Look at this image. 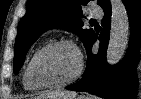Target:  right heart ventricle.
<instances>
[{
	"label": "right heart ventricle",
	"instance_id": "right-heart-ventricle-1",
	"mask_svg": "<svg viewBox=\"0 0 141 99\" xmlns=\"http://www.w3.org/2000/svg\"><path fill=\"white\" fill-rule=\"evenodd\" d=\"M40 48H41V47H39L38 49H36L35 52H34V54H35ZM34 54L32 55V57L34 56ZM32 57H31V59H32ZM31 59H30V61H31ZM30 61H29V63H30ZM29 63H28V65L26 66L25 71H24V74H23V85H24V88H25L26 90H28V91H38V90H41L42 88H39V87L34 86V85L30 82V80H29V78H28V66H29Z\"/></svg>",
	"mask_w": 141,
	"mask_h": 99
}]
</instances>
